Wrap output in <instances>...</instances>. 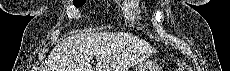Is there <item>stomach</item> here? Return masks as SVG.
<instances>
[{
    "label": "stomach",
    "instance_id": "obj_1",
    "mask_svg": "<svg viewBox=\"0 0 230 71\" xmlns=\"http://www.w3.org/2000/svg\"><path fill=\"white\" fill-rule=\"evenodd\" d=\"M154 69H156L155 66L151 65L150 63H146L135 67L134 71H154Z\"/></svg>",
    "mask_w": 230,
    "mask_h": 71
}]
</instances>
